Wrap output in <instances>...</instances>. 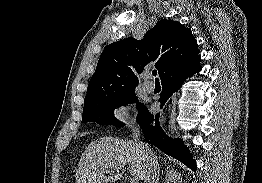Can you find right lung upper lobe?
<instances>
[{
  "instance_id": "1",
  "label": "right lung upper lobe",
  "mask_w": 262,
  "mask_h": 183,
  "mask_svg": "<svg viewBox=\"0 0 262 183\" xmlns=\"http://www.w3.org/2000/svg\"><path fill=\"white\" fill-rule=\"evenodd\" d=\"M197 41L180 22L161 20L142 40L126 38L109 44L90 79L84 104L135 89L136 74L154 64L161 81L200 63Z\"/></svg>"
}]
</instances>
